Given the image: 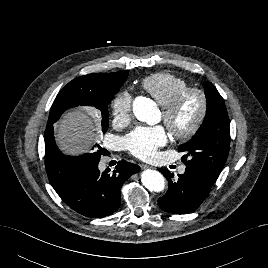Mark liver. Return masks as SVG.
I'll list each match as a JSON object with an SVG mask.
<instances>
[{
	"instance_id": "1",
	"label": "liver",
	"mask_w": 268,
	"mask_h": 268,
	"mask_svg": "<svg viewBox=\"0 0 268 268\" xmlns=\"http://www.w3.org/2000/svg\"><path fill=\"white\" fill-rule=\"evenodd\" d=\"M56 142L67 154L85 151L98 137L91 113L78 108L67 113L56 125Z\"/></svg>"
}]
</instances>
